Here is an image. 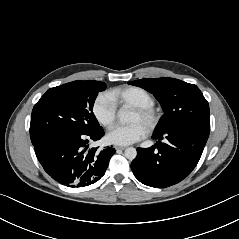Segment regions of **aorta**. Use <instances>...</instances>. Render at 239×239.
<instances>
[{"instance_id":"aorta-1","label":"aorta","mask_w":239,"mask_h":239,"mask_svg":"<svg viewBox=\"0 0 239 239\" xmlns=\"http://www.w3.org/2000/svg\"><path fill=\"white\" fill-rule=\"evenodd\" d=\"M131 113L127 111H122L119 114V120L121 123L126 124L130 121ZM124 155L129 160H134L137 156V151L133 147H128L125 149Z\"/></svg>"}]
</instances>
